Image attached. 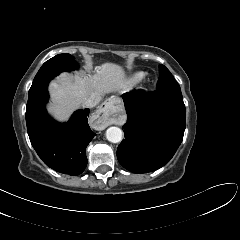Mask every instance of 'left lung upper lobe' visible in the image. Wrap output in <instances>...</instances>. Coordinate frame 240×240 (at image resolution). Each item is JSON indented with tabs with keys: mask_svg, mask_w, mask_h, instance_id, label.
I'll list each match as a JSON object with an SVG mask.
<instances>
[{
	"mask_svg": "<svg viewBox=\"0 0 240 240\" xmlns=\"http://www.w3.org/2000/svg\"><path fill=\"white\" fill-rule=\"evenodd\" d=\"M160 76L157 83V89L160 88H180L170 71L164 66L160 65Z\"/></svg>",
	"mask_w": 240,
	"mask_h": 240,
	"instance_id": "1",
	"label": "left lung upper lobe"
}]
</instances>
